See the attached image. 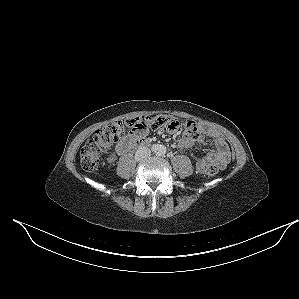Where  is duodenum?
Segmentation results:
<instances>
[{"label": "duodenum", "mask_w": 299, "mask_h": 299, "mask_svg": "<svg viewBox=\"0 0 299 299\" xmlns=\"http://www.w3.org/2000/svg\"><path fill=\"white\" fill-rule=\"evenodd\" d=\"M149 142L147 140H139L136 142L137 146H144L147 145Z\"/></svg>", "instance_id": "1"}]
</instances>
